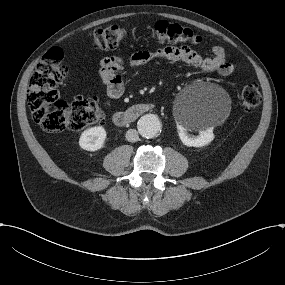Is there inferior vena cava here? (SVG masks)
I'll use <instances>...</instances> for the list:
<instances>
[{
  "label": "inferior vena cava",
  "mask_w": 285,
  "mask_h": 285,
  "mask_svg": "<svg viewBox=\"0 0 285 285\" xmlns=\"http://www.w3.org/2000/svg\"><path fill=\"white\" fill-rule=\"evenodd\" d=\"M126 139L129 142H136L139 139L138 132L135 129H129L126 132Z\"/></svg>",
  "instance_id": "obj_1"
}]
</instances>
